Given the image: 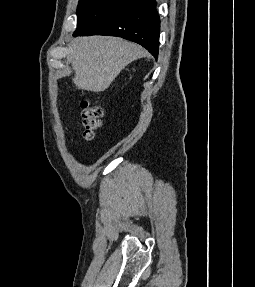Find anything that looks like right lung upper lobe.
I'll use <instances>...</instances> for the list:
<instances>
[{
  "instance_id": "1",
  "label": "right lung upper lobe",
  "mask_w": 255,
  "mask_h": 287,
  "mask_svg": "<svg viewBox=\"0 0 255 287\" xmlns=\"http://www.w3.org/2000/svg\"><path fill=\"white\" fill-rule=\"evenodd\" d=\"M138 0H131V3H135V2H137Z\"/></svg>"
}]
</instances>
